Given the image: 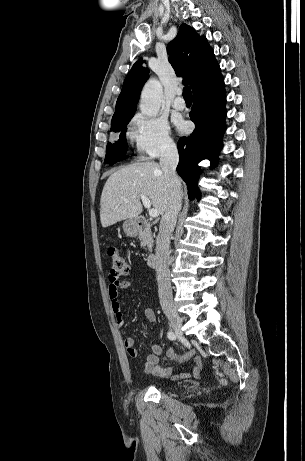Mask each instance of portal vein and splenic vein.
<instances>
[{
  "label": "portal vein and splenic vein",
  "mask_w": 305,
  "mask_h": 461,
  "mask_svg": "<svg viewBox=\"0 0 305 461\" xmlns=\"http://www.w3.org/2000/svg\"><path fill=\"white\" fill-rule=\"evenodd\" d=\"M140 198H141V200L143 202L144 207L149 210V216L152 217V218L158 217L159 212H158L157 209H154V208L151 209V202H150L149 198L147 196H145L144 194H140ZM125 201H127V199H125Z\"/></svg>",
  "instance_id": "portal-vein-and-splenic-vein-1"
}]
</instances>
